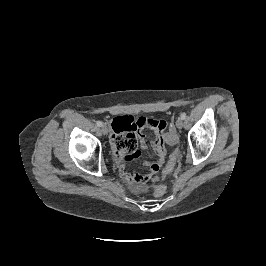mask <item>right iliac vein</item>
<instances>
[{"label": "right iliac vein", "mask_w": 266, "mask_h": 266, "mask_svg": "<svg viewBox=\"0 0 266 266\" xmlns=\"http://www.w3.org/2000/svg\"><path fill=\"white\" fill-rule=\"evenodd\" d=\"M101 131H102L103 134H107L109 130H108V127H107L106 125L103 124V125L101 126Z\"/></svg>", "instance_id": "63e3f726"}]
</instances>
